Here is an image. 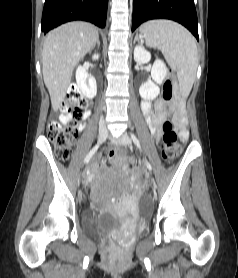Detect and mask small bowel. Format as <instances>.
I'll list each match as a JSON object with an SVG mask.
<instances>
[{
    "label": "small bowel",
    "mask_w": 238,
    "mask_h": 278,
    "mask_svg": "<svg viewBox=\"0 0 238 278\" xmlns=\"http://www.w3.org/2000/svg\"><path fill=\"white\" fill-rule=\"evenodd\" d=\"M169 106V109L167 108ZM143 115L148 124L151 134L159 139L163 133V123L169 115H173V122L177 128L180 138L185 141L188 138L186 119L184 114L183 99L178 97L172 102H167L164 98L158 99L152 108L151 102L145 100L141 105ZM86 118V116L84 117ZM60 121L64 124L71 120L69 114H61ZM84 128V123L79 125V129Z\"/></svg>",
    "instance_id": "obj_1"
}]
</instances>
